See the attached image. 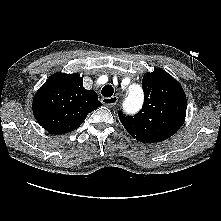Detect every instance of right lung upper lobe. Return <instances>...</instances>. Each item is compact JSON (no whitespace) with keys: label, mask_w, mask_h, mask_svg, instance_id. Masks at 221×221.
Returning a JSON list of instances; mask_svg holds the SVG:
<instances>
[{"label":"right lung upper lobe","mask_w":221,"mask_h":221,"mask_svg":"<svg viewBox=\"0 0 221 221\" xmlns=\"http://www.w3.org/2000/svg\"><path fill=\"white\" fill-rule=\"evenodd\" d=\"M80 75L56 73L38 90L33 114L38 123L52 134H64L83 123L88 113L102 104L98 95L86 90Z\"/></svg>","instance_id":"right-lung-upper-lobe-1"}]
</instances>
